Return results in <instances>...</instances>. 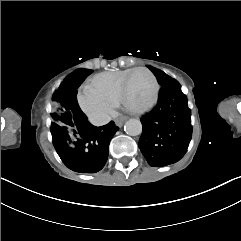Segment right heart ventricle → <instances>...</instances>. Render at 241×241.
<instances>
[{
  "instance_id": "1",
  "label": "right heart ventricle",
  "mask_w": 241,
  "mask_h": 241,
  "mask_svg": "<svg viewBox=\"0 0 241 241\" xmlns=\"http://www.w3.org/2000/svg\"><path fill=\"white\" fill-rule=\"evenodd\" d=\"M133 71H135V69L101 72L89 78L85 84H94L101 93L110 96L116 105L118 100L122 97V78L126 74L130 75Z\"/></svg>"
}]
</instances>
